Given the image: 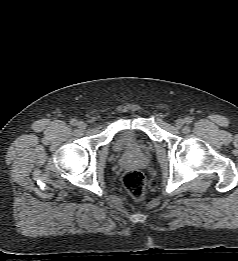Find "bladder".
I'll list each match as a JSON object with an SVG mask.
<instances>
[{
	"mask_svg": "<svg viewBox=\"0 0 238 261\" xmlns=\"http://www.w3.org/2000/svg\"><path fill=\"white\" fill-rule=\"evenodd\" d=\"M112 148L116 152L136 150L138 143L134 132L129 129L119 130L112 140Z\"/></svg>",
	"mask_w": 238,
	"mask_h": 261,
	"instance_id": "1",
	"label": "bladder"
}]
</instances>
